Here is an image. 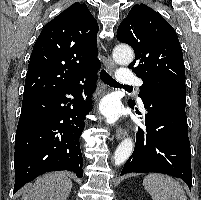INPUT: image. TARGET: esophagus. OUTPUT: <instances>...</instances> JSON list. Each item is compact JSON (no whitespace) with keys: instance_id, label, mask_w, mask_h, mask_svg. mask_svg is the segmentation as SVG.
Wrapping results in <instances>:
<instances>
[{"instance_id":"1","label":"esophagus","mask_w":201,"mask_h":200,"mask_svg":"<svg viewBox=\"0 0 201 200\" xmlns=\"http://www.w3.org/2000/svg\"><path fill=\"white\" fill-rule=\"evenodd\" d=\"M116 64L112 61L110 56H107V62H106V69L110 74H113L116 70ZM128 133V129L126 127L118 126L116 130V139L120 140L123 139Z\"/></svg>"}]
</instances>
